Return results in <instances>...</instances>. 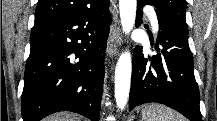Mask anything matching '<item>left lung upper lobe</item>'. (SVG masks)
Listing matches in <instances>:
<instances>
[{"label":"left lung upper lobe","mask_w":217,"mask_h":121,"mask_svg":"<svg viewBox=\"0 0 217 121\" xmlns=\"http://www.w3.org/2000/svg\"><path fill=\"white\" fill-rule=\"evenodd\" d=\"M175 24L188 32L185 20L186 0H149Z\"/></svg>","instance_id":"5c2ea615"}]
</instances>
